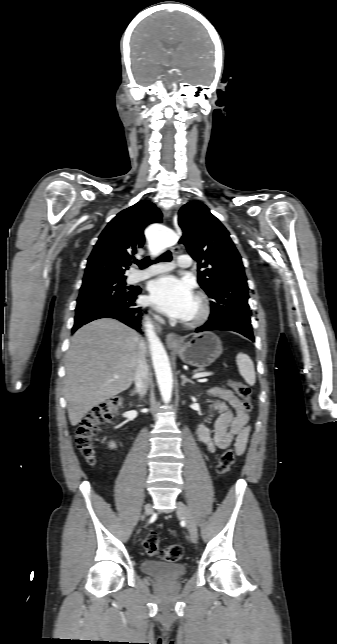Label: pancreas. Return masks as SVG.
Masks as SVG:
<instances>
[{"instance_id":"pancreas-1","label":"pancreas","mask_w":337,"mask_h":644,"mask_svg":"<svg viewBox=\"0 0 337 644\" xmlns=\"http://www.w3.org/2000/svg\"><path fill=\"white\" fill-rule=\"evenodd\" d=\"M200 371H202V370H195V371H194V373H198V372H200Z\"/></svg>"}]
</instances>
